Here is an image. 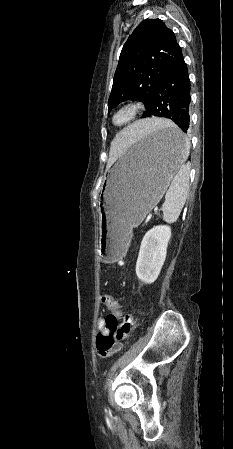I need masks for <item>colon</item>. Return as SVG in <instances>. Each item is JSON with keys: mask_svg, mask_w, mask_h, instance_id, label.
Listing matches in <instances>:
<instances>
[{"mask_svg": "<svg viewBox=\"0 0 233 449\" xmlns=\"http://www.w3.org/2000/svg\"><path fill=\"white\" fill-rule=\"evenodd\" d=\"M102 303L109 314L105 318L106 328L98 334L96 345L100 354H106L118 348V345L129 337L135 324V315L129 311L121 318L118 303L111 294L104 295Z\"/></svg>", "mask_w": 233, "mask_h": 449, "instance_id": "5ec220e1", "label": "colon"}]
</instances>
